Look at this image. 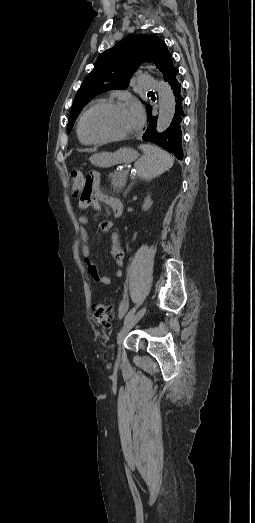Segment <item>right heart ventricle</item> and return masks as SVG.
Listing matches in <instances>:
<instances>
[{"label":"right heart ventricle","mask_w":255,"mask_h":523,"mask_svg":"<svg viewBox=\"0 0 255 523\" xmlns=\"http://www.w3.org/2000/svg\"><path fill=\"white\" fill-rule=\"evenodd\" d=\"M80 138H81V137H80ZM81 140H82V141H83L84 143H89V142H87V141L83 140L82 138H81Z\"/></svg>","instance_id":"1"}]
</instances>
